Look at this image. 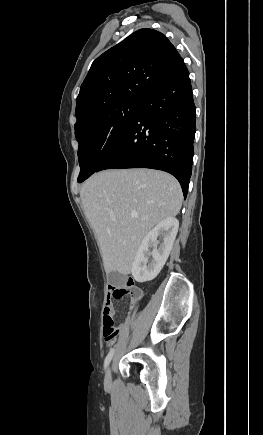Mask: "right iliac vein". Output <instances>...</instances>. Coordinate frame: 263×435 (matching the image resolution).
I'll use <instances>...</instances> for the list:
<instances>
[{
    "instance_id": "right-iliac-vein-1",
    "label": "right iliac vein",
    "mask_w": 263,
    "mask_h": 435,
    "mask_svg": "<svg viewBox=\"0 0 263 435\" xmlns=\"http://www.w3.org/2000/svg\"><path fill=\"white\" fill-rule=\"evenodd\" d=\"M111 382V367H108L105 373V383L108 385Z\"/></svg>"
}]
</instances>
